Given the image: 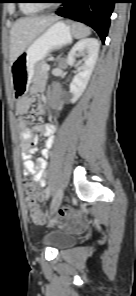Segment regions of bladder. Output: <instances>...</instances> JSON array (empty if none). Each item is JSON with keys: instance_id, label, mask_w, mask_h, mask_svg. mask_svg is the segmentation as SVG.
<instances>
[{"instance_id": "bladder-1", "label": "bladder", "mask_w": 136, "mask_h": 296, "mask_svg": "<svg viewBox=\"0 0 136 296\" xmlns=\"http://www.w3.org/2000/svg\"><path fill=\"white\" fill-rule=\"evenodd\" d=\"M74 240V236L65 231H52L48 233L43 243L54 248H62L69 246Z\"/></svg>"}]
</instances>
